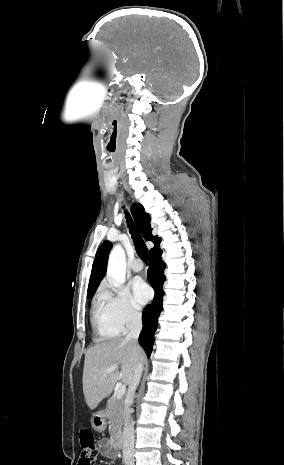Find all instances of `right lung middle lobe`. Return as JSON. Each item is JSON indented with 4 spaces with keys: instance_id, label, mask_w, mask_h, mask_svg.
Listing matches in <instances>:
<instances>
[{
    "instance_id": "1",
    "label": "right lung middle lobe",
    "mask_w": 284,
    "mask_h": 465,
    "mask_svg": "<svg viewBox=\"0 0 284 465\" xmlns=\"http://www.w3.org/2000/svg\"><path fill=\"white\" fill-rule=\"evenodd\" d=\"M91 297H93V295H88V296H87V298H91Z\"/></svg>"
}]
</instances>
